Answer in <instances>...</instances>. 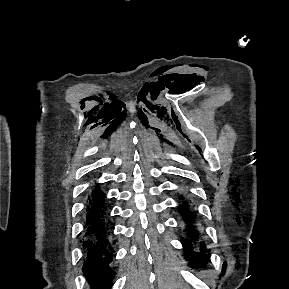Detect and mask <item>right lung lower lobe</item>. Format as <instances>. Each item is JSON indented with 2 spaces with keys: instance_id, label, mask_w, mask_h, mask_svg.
<instances>
[{
  "instance_id": "1",
  "label": "right lung lower lobe",
  "mask_w": 289,
  "mask_h": 289,
  "mask_svg": "<svg viewBox=\"0 0 289 289\" xmlns=\"http://www.w3.org/2000/svg\"><path fill=\"white\" fill-rule=\"evenodd\" d=\"M104 193L96 187L88 196L86 205V227L83 246L88 251L83 265V272L88 276L103 279V285L111 286L115 273L109 264L114 255L115 242L111 239L112 222L110 221Z\"/></svg>"
}]
</instances>
